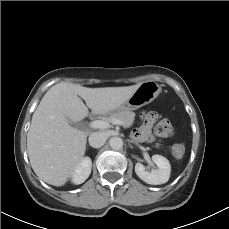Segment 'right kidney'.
Instances as JSON below:
<instances>
[{"mask_svg":"<svg viewBox=\"0 0 229 229\" xmlns=\"http://www.w3.org/2000/svg\"><path fill=\"white\" fill-rule=\"evenodd\" d=\"M92 161L89 157H84L72 174V182L81 184L86 181L91 173Z\"/></svg>","mask_w":229,"mask_h":229,"instance_id":"ca27d5eb","label":"right kidney"}]
</instances>
